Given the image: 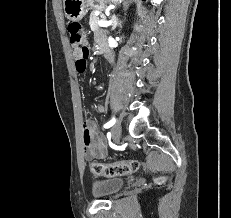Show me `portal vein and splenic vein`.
Masks as SVG:
<instances>
[{
  "label": "portal vein and splenic vein",
  "instance_id": "1",
  "mask_svg": "<svg viewBox=\"0 0 231 218\" xmlns=\"http://www.w3.org/2000/svg\"><path fill=\"white\" fill-rule=\"evenodd\" d=\"M97 24L100 26V27H108L112 24V20L110 21H106V20H99L97 22Z\"/></svg>",
  "mask_w": 231,
  "mask_h": 218
}]
</instances>
